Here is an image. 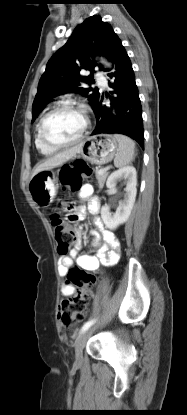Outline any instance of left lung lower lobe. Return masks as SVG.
<instances>
[{
  "instance_id": "obj_1",
  "label": "left lung lower lobe",
  "mask_w": 187,
  "mask_h": 415,
  "mask_svg": "<svg viewBox=\"0 0 187 415\" xmlns=\"http://www.w3.org/2000/svg\"><path fill=\"white\" fill-rule=\"evenodd\" d=\"M108 59L115 65V71L107 74L113 88L111 107L102 105L99 98L93 110L97 124L92 135L103 133L124 134L136 140L144 148L142 109L131 61L120 39L117 37L110 49ZM109 71V70H105Z\"/></svg>"
}]
</instances>
